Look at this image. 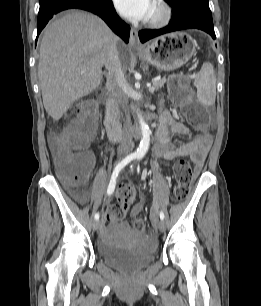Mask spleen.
Here are the masks:
<instances>
[{
    "label": "spleen",
    "mask_w": 261,
    "mask_h": 306,
    "mask_svg": "<svg viewBox=\"0 0 261 306\" xmlns=\"http://www.w3.org/2000/svg\"><path fill=\"white\" fill-rule=\"evenodd\" d=\"M194 86L197 88L198 100L206 106L213 105L216 98V77L213 65L205 62L196 74Z\"/></svg>",
    "instance_id": "3e777b00"
}]
</instances>
